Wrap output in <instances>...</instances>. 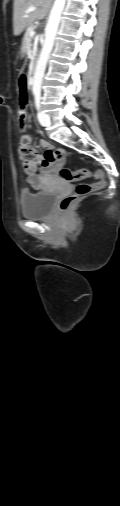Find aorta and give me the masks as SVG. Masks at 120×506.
<instances>
[{
	"mask_svg": "<svg viewBox=\"0 0 120 506\" xmlns=\"http://www.w3.org/2000/svg\"><path fill=\"white\" fill-rule=\"evenodd\" d=\"M64 6L65 0H55L53 8L50 12L48 23L45 29V40L34 72L33 87H32L34 95H39L41 92L44 73L46 70L48 59L50 57V53L54 46V41Z\"/></svg>",
	"mask_w": 120,
	"mask_h": 506,
	"instance_id": "aorta-1",
	"label": "aorta"
}]
</instances>
